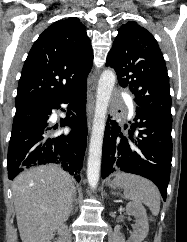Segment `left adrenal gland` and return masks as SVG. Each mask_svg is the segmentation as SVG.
<instances>
[{
	"instance_id": "obj_1",
	"label": "left adrenal gland",
	"mask_w": 187,
	"mask_h": 242,
	"mask_svg": "<svg viewBox=\"0 0 187 242\" xmlns=\"http://www.w3.org/2000/svg\"><path fill=\"white\" fill-rule=\"evenodd\" d=\"M111 193L114 194V195L116 194L114 191H111Z\"/></svg>"
}]
</instances>
